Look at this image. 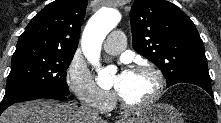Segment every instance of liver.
I'll list each match as a JSON object with an SVG mask.
<instances>
[{
    "label": "liver",
    "instance_id": "obj_1",
    "mask_svg": "<svg viewBox=\"0 0 221 123\" xmlns=\"http://www.w3.org/2000/svg\"><path fill=\"white\" fill-rule=\"evenodd\" d=\"M0 123H107L87 115L74 104L53 100L24 102L7 108Z\"/></svg>",
    "mask_w": 221,
    "mask_h": 123
}]
</instances>
